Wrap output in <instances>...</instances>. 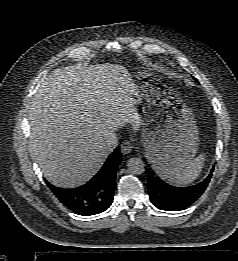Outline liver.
<instances>
[{
    "mask_svg": "<svg viewBox=\"0 0 238 261\" xmlns=\"http://www.w3.org/2000/svg\"><path fill=\"white\" fill-rule=\"evenodd\" d=\"M127 69L116 64L54 70L37 90L29 110V152L53 185L86 183L109 155L108 133L142 124Z\"/></svg>",
    "mask_w": 238,
    "mask_h": 261,
    "instance_id": "6515ba94",
    "label": "liver"
}]
</instances>
